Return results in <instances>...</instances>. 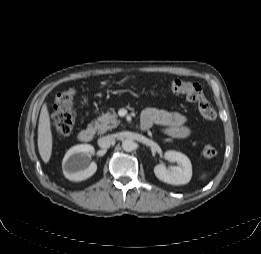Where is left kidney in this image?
<instances>
[{
	"label": "left kidney",
	"mask_w": 261,
	"mask_h": 254,
	"mask_svg": "<svg viewBox=\"0 0 261 254\" xmlns=\"http://www.w3.org/2000/svg\"><path fill=\"white\" fill-rule=\"evenodd\" d=\"M165 158L170 162H176L178 165L173 166L170 170L164 165L154 167L155 176L168 184L182 185L187 184L192 177V165L189 158L181 152L167 151Z\"/></svg>",
	"instance_id": "5707ae66"
}]
</instances>
